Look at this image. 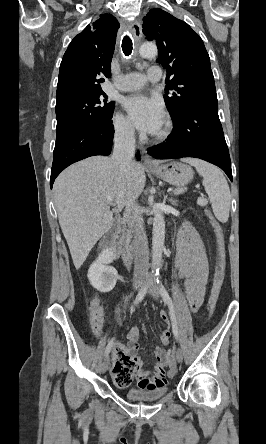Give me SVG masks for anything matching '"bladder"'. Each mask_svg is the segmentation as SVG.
<instances>
[{"label":"bladder","mask_w":266,"mask_h":444,"mask_svg":"<svg viewBox=\"0 0 266 444\" xmlns=\"http://www.w3.org/2000/svg\"><path fill=\"white\" fill-rule=\"evenodd\" d=\"M168 392V387H161L155 389H136L131 388L125 392V396L131 400H145L154 401L161 399Z\"/></svg>","instance_id":"bladder-1"}]
</instances>
